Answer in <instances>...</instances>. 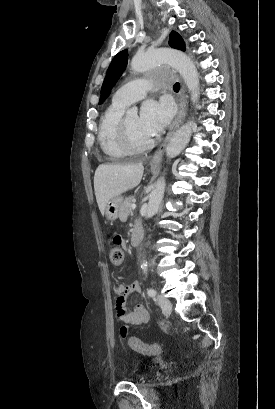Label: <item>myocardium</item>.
<instances>
[{
    "label": "myocardium",
    "mask_w": 275,
    "mask_h": 409,
    "mask_svg": "<svg viewBox=\"0 0 275 409\" xmlns=\"http://www.w3.org/2000/svg\"><path fill=\"white\" fill-rule=\"evenodd\" d=\"M120 137L123 147L128 153L131 154L147 153L154 147L155 144L154 139L142 146L135 144L131 137L126 118H122L120 122Z\"/></svg>",
    "instance_id": "obj_1"
}]
</instances>
